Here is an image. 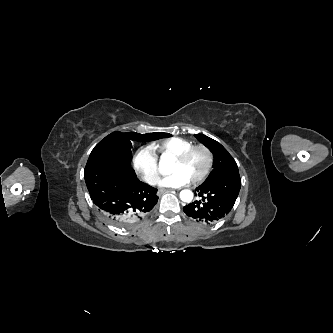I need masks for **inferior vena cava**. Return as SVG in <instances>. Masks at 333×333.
Instances as JSON below:
<instances>
[{
    "mask_svg": "<svg viewBox=\"0 0 333 333\" xmlns=\"http://www.w3.org/2000/svg\"><path fill=\"white\" fill-rule=\"evenodd\" d=\"M158 179H159L158 176H152L153 184H155V183L157 182Z\"/></svg>",
    "mask_w": 333,
    "mask_h": 333,
    "instance_id": "obj_1",
    "label": "inferior vena cava"
}]
</instances>
